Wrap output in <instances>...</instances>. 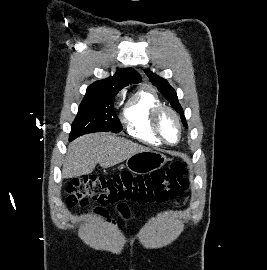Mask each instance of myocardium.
Listing matches in <instances>:
<instances>
[{"mask_svg": "<svg viewBox=\"0 0 267 270\" xmlns=\"http://www.w3.org/2000/svg\"><path fill=\"white\" fill-rule=\"evenodd\" d=\"M165 112H168L173 116V118L176 121L177 127H178V139L174 143L167 141L161 132L160 118H161L162 114ZM150 122H151V128H152L153 133L160 140L161 143L173 146V145H176L177 143H179V141L181 140V137L183 134L182 123H181V120H180L178 113L172 107L167 106V105H163V104L157 106L152 111Z\"/></svg>", "mask_w": 267, "mask_h": 270, "instance_id": "1", "label": "myocardium"}]
</instances>
